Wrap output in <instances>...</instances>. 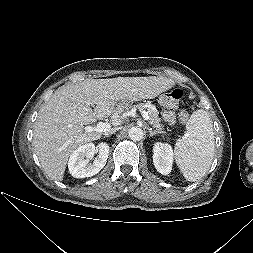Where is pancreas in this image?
<instances>
[{"label":"pancreas","mask_w":253,"mask_h":253,"mask_svg":"<svg viewBox=\"0 0 253 253\" xmlns=\"http://www.w3.org/2000/svg\"><path fill=\"white\" fill-rule=\"evenodd\" d=\"M137 108L139 110H146L149 115V124L156 129L159 133H164L163 131V124L161 123V118L158 116V111L153 107H144L143 105H138Z\"/></svg>","instance_id":"1"}]
</instances>
